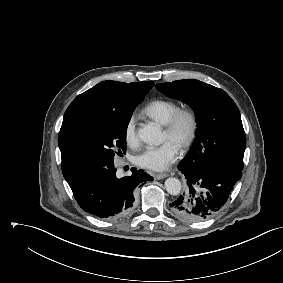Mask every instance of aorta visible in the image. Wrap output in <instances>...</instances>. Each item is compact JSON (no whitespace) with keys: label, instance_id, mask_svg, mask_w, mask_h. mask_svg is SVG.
<instances>
[{"label":"aorta","instance_id":"762f6f07","mask_svg":"<svg viewBox=\"0 0 283 283\" xmlns=\"http://www.w3.org/2000/svg\"><path fill=\"white\" fill-rule=\"evenodd\" d=\"M139 138L149 145H159L163 142L160 126L155 123L146 124L138 130ZM182 185L177 178H168L165 181V189L170 195H178Z\"/></svg>","mask_w":283,"mask_h":283}]
</instances>
